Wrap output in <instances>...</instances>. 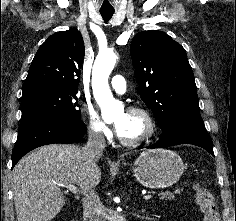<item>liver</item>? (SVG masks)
Here are the masks:
<instances>
[{"instance_id":"liver-1","label":"liver","mask_w":236,"mask_h":221,"mask_svg":"<svg viewBox=\"0 0 236 221\" xmlns=\"http://www.w3.org/2000/svg\"><path fill=\"white\" fill-rule=\"evenodd\" d=\"M101 179L97 164H88L82 148L52 144L23 157L13 170L12 189L18 221H50L65 204L60 184L78 185L81 193Z\"/></svg>"}]
</instances>
